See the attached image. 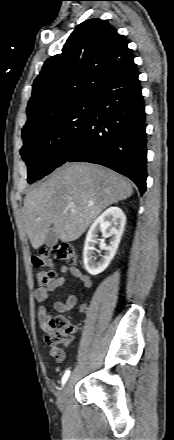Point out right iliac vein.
I'll use <instances>...</instances> for the list:
<instances>
[{
  "mask_svg": "<svg viewBox=\"0 0 174 440\" xmlns=\"http://www.w3.org/2000/svg\"><path fill=\"white\" fill-rule=\"evenodd\" d=\"M70 388V381H67L58 395L57 406L61 411H64L66 409L67 396L69 394Z\"/></svg>",
  "mask_w": 174,
  "mask_h": 440,
  "instance_id": "right-iliac-vein-1",
  "label": "right iliac vein"
}]
</instances>
